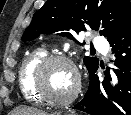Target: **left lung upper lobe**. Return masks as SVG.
<instances>
[{"mask_svg": "<svg viewBox=\"0 0 131 115\" xmlns=\"http://www.w3.org/2000/svg\"><path fill=\"white\" fill-rule=\"evenodd\" d=\"M131 21L128 0H48L33 16L22 40L59 31L79 33L87 28L100 30L109 40ZM72 38L71 33H60ZM89 74L98 67L94 57H84Z\"/></svg>", "mask_w": 131, "mask_h": 115, "instance_id": "obj_1", "label": "left lung upper lobe"}]
</instances>
